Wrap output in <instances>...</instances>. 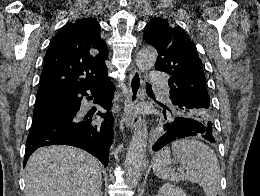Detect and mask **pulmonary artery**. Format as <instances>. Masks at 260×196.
I'll return each mask as SVG.
<instances>
[{
  "label": "pulmonary artery",
  "instance_id": "obj_1",
  "mask_svg": "<svg viewBox=\"0 0 260 196\" xmlns=\"http://www.w3.org/2000/svg\"><path fill=\"white\" fill-rule=\"evenodd\" d=\"M167 80L163 76V72H150L147 84H166Z\"/></svg>",
  "mask_w": 260,
  "mask_h": 196
}]
</instances>
